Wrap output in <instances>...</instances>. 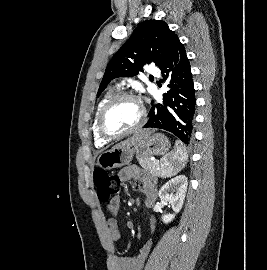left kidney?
<instances>
[{"label": "left kidney", "mask_w": 267, "mask_h": 270, "mask_svg": "<svg viewBox=\"0 0 267 270\" xmlns=\"http://www.w3.org/2000/svg\"><path fill=\"white\" fill-rule=\"evenodd\" d=\"M187 186V177L185 175H178L167 181L159 190V198L163 201L169 202L174 211V214L162 216V221L165 224L170 223L175 218V214L179 213L181 210L187 191Z\"/></svg>", "instance_id": "1"}]
</instances>
